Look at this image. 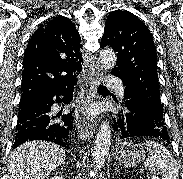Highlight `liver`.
I'll return each instance as SVG.
<instances>
[{
	"label": "liver",
	"mask_w": 183,
	"mask_h": 179,
	"mask_svg": "<svg viewBox=\"0 0 183 179\" xmlns=\"http://www.w3.org/2000/svg\"><path fill=\"white\" fill-rule=\"evenodd\" d=\"M65 157V151L54 143L26 142L10 154L6 179H45Z\"/></svg>",
	"instance_id": "obj_1"
}]
</instances>
